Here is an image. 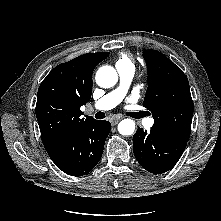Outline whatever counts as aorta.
Masks as SVG:
<instances>
[{"mask_svg":"<svg viewBox=\"0 0 221 221\" xmlns=\"http://www.w3.org/2000/svg\"><path fill=\"white\" fill-rule=\"evenodd\" d=\"M96 83L102 88L113 87L118 81V74L111 66H102L96 72ZM118 131L121 135H131L135 131V122L131 119H124L118 124Z\"/></svg>","mask_w":221,"mask_h":221,"instance_id":"obj_1","label":"aorta"}]
</instances>
